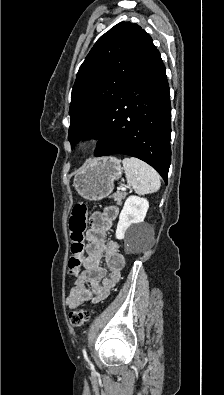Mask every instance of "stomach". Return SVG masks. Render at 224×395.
Masks as SVG:
<instances>
[{"instance_id":"1","label":"stomach","mask_w":224,"mask_h":395,"mask_svg":"<svg viewBox=\"0 0 224 395\" xmlns=\"http://www.w3.org/2000/svg\"><path fill=\"white\" fill-rule=\"evenodd\" d=\"M122 176L121 162L115 157L91 159L75 174L73 186L87 200H101L114 188Z\"/></svg>"}]
</instances>
